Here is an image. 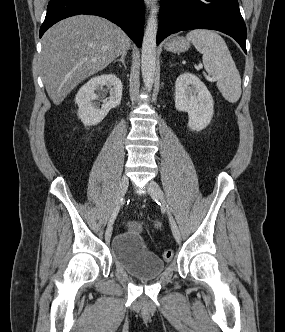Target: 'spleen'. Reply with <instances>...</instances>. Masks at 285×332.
I'll use <instances>...</instances> for the list:
<instances>
[{
  "mask_svg": "<svg viewBox=\"0 0 285 332\" xmlns=\"http://www.w3.org/2000/svg\"><path fill=\"white\" fill-rule=\"evenodd\" d=\"M187 39L203 54V64L209 75L217 80L223 97L235 103L241 96V77L224 39L215 31L196 29Z\"/></svg>",
  "mask_w": 285,
  "mask_h": 332,
  "instance_id": "spleen-1",
  "label": "spleen"
}]
</instances>
